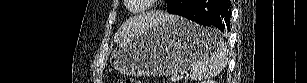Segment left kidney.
<instances>
[{
	"label": "left kidney",
	"instance_id": "left-kidney-1",
	"mask_svg": "<svg viewBox=\"0 0 307 83\" xmlns=\"http://www.w3.org/2000/svg\"><path fill=\"white\" fill-rule=\"evenodd\" d=\"M203 83H216V82L211 80V81H207V82L205 81Z\"/></svg>",
	"mask_w": 307,
	"mask_h": 83
}]
</instances>
